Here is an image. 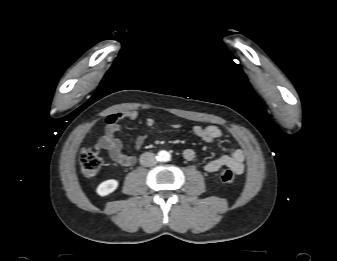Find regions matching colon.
Here are the masks:
<instances>
[{"instance_id":"obj_1","label":"colon","mask_w":337,"mask_h":261,"mask_svg":"<svg viewBox=\"0 0 337 261\" xmlns=\"http://www.w3.org/2000/svg\"><path fill=\"white\" fill-rule=\"evenodd\" d=\"M79 164L84 176H95L103 165L102 147L95 145L82 149L79 153ZM220 180L225 184H231L235 180V175L231 169H225L220 173Z\"/></svg>"}]
</instances>
